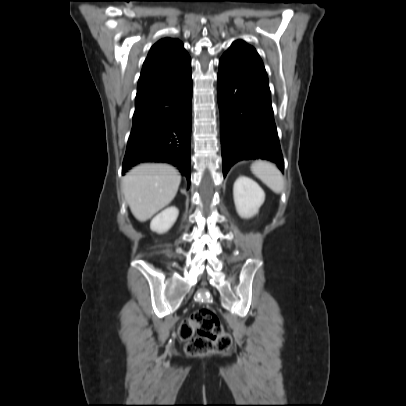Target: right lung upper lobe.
<instances>
[{"instance_id": "right-lung-upper-lobe-1", "label": "right lung upper lobe", "mask_w": 406, "mask_h": 406, "mask_svg": "<svg viewBox=\"0 0 406 406\" xmlns=\"http://www.w3.org/2000/svg\"><path fill=\"white\" fill-rule=\"evenodd\" d=\"M190 67V57L178 39L164 38L150 49L138 81L137 95L160 87Z\"/></svg>"}]
</instances>
